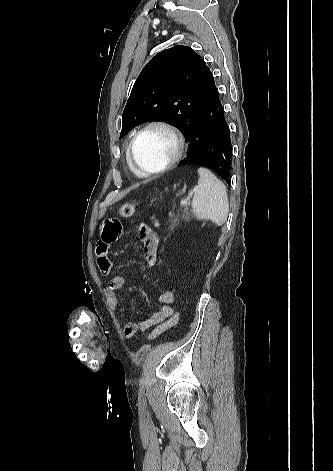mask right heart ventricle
Instances as JSON below:
<instances>
[{
    "label": "right heart ventricle",
    "mask_w": 333,
    "mask_h": 471,
    "mask_svg": "<svg viewBox=\"0 0 333 471\" xmlns=\"http://www.w3.org/2000/svg\"><path fill=\"white\" fill-rule=\"evenodd\" d=\"M130 165V164H129ZM131 167V165H130ZM132 171L137 175V176H140V177H144L143 175H141L140 173H138L137 171H135L132 167H131Z\"/></svg>",
    "instance_id": "obj_1"
}]
</instances>
